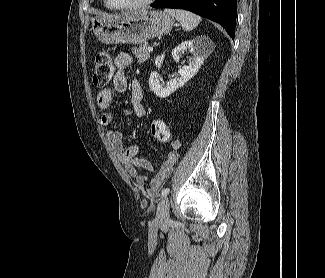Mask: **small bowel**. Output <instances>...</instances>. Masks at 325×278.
<instances>
[{"mask_svg": "<svg viewBox=\"0 0 325 278\" xmlns=\"http://www.w3.org/2000/svg\"><path fill=\"white\" fill-rule=\"evenodd\" d=\"M114 64L116 73L113 85L101 90L97 95V105L104 111L101 116V124L103 126H109L113 121L112 113L109 111L113 96L123 94L128 88L125 70L131 66L132 57L127 53H120L115 57ZM130 89L133 113L137 117H142L145 114V108L142 103L143 93L141 85L137 80H133ZM106 136L112 149L119 155L125 170L134 178L135 185L139 188L145 187V193L148 197L155 195L163 182L171 174L179 156L181 143L177 140L170 142V150L165 159L160 163L155 174L148 178L141 173V170L152 171L153 166L147 159L139 156L140 147L138 145H131L125 149L122 143L123 134L119 130H110Z\"/></svg>", "mask_w": 325, "mask_h": 278, "instance_id": "1", "label": "small bowel"}]
</instances>
